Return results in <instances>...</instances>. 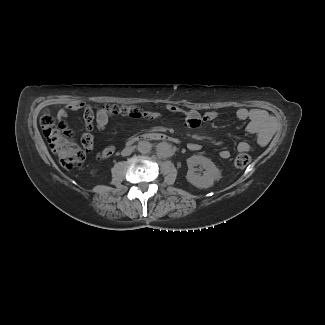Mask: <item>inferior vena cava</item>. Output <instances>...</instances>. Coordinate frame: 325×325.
<instances>
[{
  "instance_id": "inferior-vena-cava-1",
  "label": "inferior vena cava",
  "mask_w": 325,
  "mask_h": 325,
  "mask_svg": "<svg viewBox=\"0 0 325 325\" xmlns=\"http://www.w3.org/2000/svg\"><path fill=\"white\" fill-rule=\"evenodd\" d=\"M133 148L132 147H126L122 150L121 154L122 156H128L132 153Z\"/></svg>"
}]
</instances>
